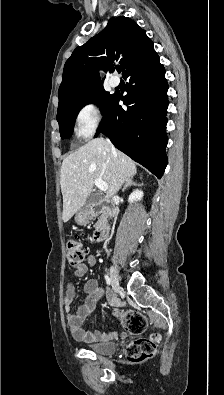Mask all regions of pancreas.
Listing matches in <instances>:
<instances>
[{
  "instance_id": "obj_1",
  "label": "pancreas",
  "mask_w": 224,
  "mask_h": 395,
  "mask_svg": "<svg viewBox=\"0 0 224 395\" xmlns=\"http://www.w3.org/2000/svg\"><path fill=\"white\" fill-rule=\"evenodd\" d=\"M104 217H105L104 214H102L101 217H100V220H103ZM95 228H98V224H95Z\"/></svg>"
}]
</instances>
